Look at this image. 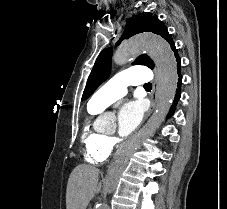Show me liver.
Returning a JSON list of instances; mask_svg holds the SVG:
<instances>
[{
  "label": "liver",
  "instance_id": "liver-1",
  "mask_svg": "<svg viewBox=\"0 0 227 209\" xmlns=\"http://www.w3.org/2000/svg\"><path fill=\"white\" fill-rule=\"evenodd\" d=\"M97 171L89 165H78L73 169L67 185V209H86L93 193L97 191Z\"/></svg>",
  "mask_w": 227,
  "mask_h": 209
}]
</instances>
